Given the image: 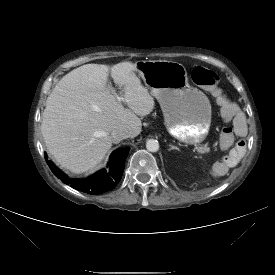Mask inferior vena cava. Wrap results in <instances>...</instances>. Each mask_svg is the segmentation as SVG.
Returning a JSON list of instances; mask_svg holds the SVG:
<instances>
[{
  "label": "inferior vena cava",
  "mask_w": 275,
  "mask_h": 275,
  "mask_svg": "<svg viewBox=\"0 0 275 275\" xmlns=\"http://www.w3.org/2000/svg\"><path fill=\"white\" fill-rule=\"evenodd\" d=\"M130 136L129 131L125 127H120L111 132V137L113 139V143H118L123 139H126Z\"/></svg>",
  "instance_id": "1"
}]
</instances>
